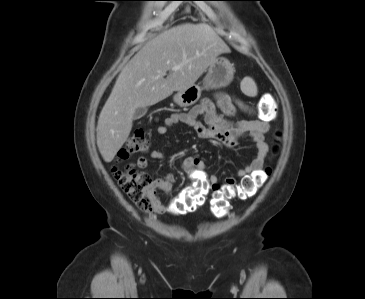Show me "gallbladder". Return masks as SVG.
<instances>
[{
  "mask_svg": "<svg viewBox=\"0 0 365 299\" xmlns=\"http://www.w3.org/2000/svg\"><path fill=\"white\" fill-rule=\"evenodd\" d=\"M148 111L147 107H139L135 110V113L133 115V120H137L142 118Z\"/></svg>",
  "mask_w": 365,
  "mask_h": 299,
  "instance_id": "obj_1",
  "label": "gallbladder"
}]
</instances>
